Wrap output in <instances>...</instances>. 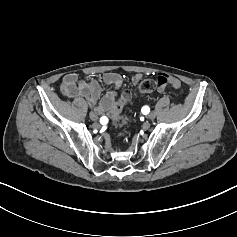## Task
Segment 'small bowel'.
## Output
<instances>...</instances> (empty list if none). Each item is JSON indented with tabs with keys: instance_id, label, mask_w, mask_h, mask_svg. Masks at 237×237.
<instances>
[{
	"instance_id": "small-bowel-1",
	"label": "small bowel",
	"mask_w": 237,
	"mask_h": 237,
	"mask_svg": "<svg viewBox=\"0 0 237 237\" xmlns=\"http://www.w3.org/2000/svg\"><path fill=\"white\" fill-rule=\"evenodd\" d=\"M140 75L133 77V82L137 83L140 80ZM103 82L111 86V89L102 97L101 85L96 80L84 81L79 80L78 76L74 73L67 74L63 77L60 88L62 93L68 98H80L85 100L90 107L93 108L91 114L104 116L111 112L116 104L119 91L123 85V78L120 74L109 72L103 75ZM164 90L163 86L158 87V92ZM124 98L129 99L130 93L124 92Z\"/></svg>"
}]
</instances>
